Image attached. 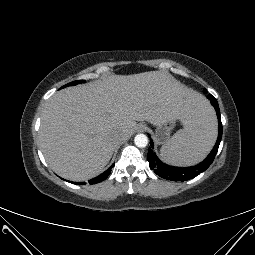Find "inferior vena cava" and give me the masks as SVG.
<instances>
[{
  "label": "inferior vena cava",
  "instance_id": "inferior-vena-cava-1",
  "mask_svg": "<svg viewBox=\"0 0 255 255\" xmlns=\"http://www.w3.org/2000/svg\"><path fill=\"white\" fill-rule=\"evenodd\" d=\"M114 138L116 140H121V139H123V135L120 132H117L114 134Z\"/></svg>",
  "mask_w": 255,
  "mask_h": 255
}]
</instances>
